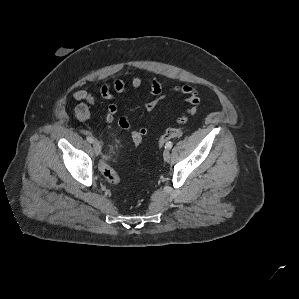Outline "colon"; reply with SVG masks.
Instances as JSON below:
<instances>
[{
    "mask_svg": "<svg viewBox=\"0 0 299 299\" xmlns=\"http://www.w3.org/2000/svg\"><path fill=\"white\" fill-rule=\"evenodd\" d=\"M185 130L182 128H170L168 129L160 138H159V145L162 146L166 142L179 138L184 134ZM145 134L139 128L132 130L131 132V142L135 147H138L144 138ZM116 147V146H115ZM110 156L104 158V160L100 163V171L102 176L109 184H117L120 180V177L116 170L112 168L109 164Z\"/></svg>",
    "mask_w": 299,
    "mask_h": 299,
    "instance_id": "obj_1",
    "label": "colon"
}]
</instances>
